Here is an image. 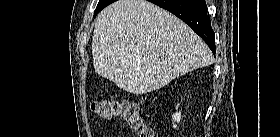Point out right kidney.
<instances>
[{
	"mask_svg": "<svg viewBox=\"0 0 280 137\" xmlns=\"http://www.w3.org/2000/svg\"><path fill=\"white\" fill-rule=\"evenodd\" d=\"M177 108H178V105H177ZM172 120H173V123L174 122H177L179 123L180 120H181V112H176L175 114L172 115ZM174 128H176V124L173 125Z\"/></svg>",
	"mask_w": 280,
	"mask_h": 137,
	"instance_id": "right-kidney-1",
	"label": "right kidney"
}]
</instances>
